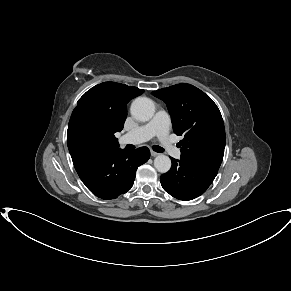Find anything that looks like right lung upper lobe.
Wrapping results in <instances>:
<instances>
[{"instance_id": "cb5924a9", "label": "right lung upper lobe", "mask_w": 291, "mask_h": 291, "mask_svg": "<svg viewBox=\"0 0 291 291\" xmlns=\"http://www.w3.org/2000/svg\"><path fill=\"white\" fill-rule=\"evenodd\" d=\"M144 90L115 82H104L87 91L72 112L68 133L84 126L92 134L90 144L103 150L118 149L116 132L123 129L126 104ZM68 141V140H67Z\"/></svg>"}]
</instances>
